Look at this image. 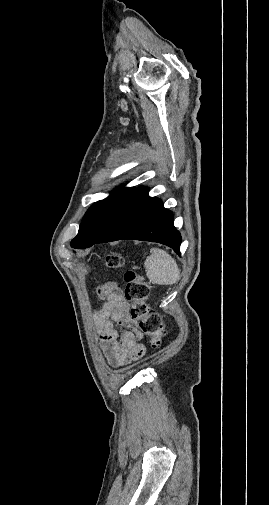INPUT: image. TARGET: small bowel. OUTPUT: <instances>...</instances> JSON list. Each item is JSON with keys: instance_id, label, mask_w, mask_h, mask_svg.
I'll list each match as a JSON object with an SVG mask.
<instances>
[{"instance_id": "small-bowel-1", "label": "small bowel", "mask_w": 269, "mask_h": 505, "mask_svg": "<svg viewBox=\"0 0 269 505\" xmlns=\"http://www.w3.org/2000/svg\"><path fill=\"white\" fill-rule=\"evenodd\" d=\"M99 296L103 303L95 311L94 320L107 361L113 367H120L138 360L146 352L145 346L139 342L143 334L129 313L121 288L106 284L100 289ZM116 324L125 328L121 335L115 329Z\"/></svg>"}]
</instances>
